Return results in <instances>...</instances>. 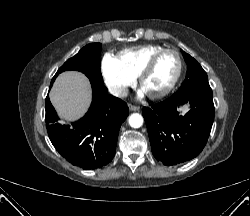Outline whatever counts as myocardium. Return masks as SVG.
Masks as SVG:
<instances>
[{
    "mask_svg": "<svg viewBox=\"0 0 250 216\" xmlns=\"http://www.w3.org/2000/svg\"><path fill=\"white\" fill-rule=\"evenodd\" d=\"M165 53H172L176 56L177 62H178V68H177V71H176L174 78L172 79L170 84L163 91H161L160 93H157V94L148 95L149 98H151L153 100H158V99H161V98H164L165 96H167L175 88V86L177 85V83L181 77V74H182L183 60H182L181 54L175 49L163 48V49L157 51L156 53H154L149 58V60L146 62V64L143 66V68L141 69V71L138 75L139 85L142 87L144 79L150 73V71L152 70V68H153L154 64L156 63V61L158 60V58Z\"/></svg>",
    "mask_w": 250,
    "mask_h": 216,
    "instance_id": "f54148a6",
    "label": "myocardium"
}]
</instances>
